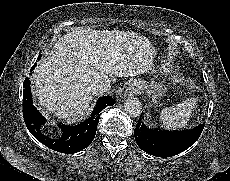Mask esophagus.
Masks as SVG:
<instances>
[{"instance_id":"34e87169","label":"esophagus","mask_w":230,"mask_h":181,"mask_svg":"<svg viewBox=\"0 0 230 181\" xmlns=\"http://www.w3.org/2000/svg\"><path fill=\"white\" fill-rule=\"evenodd\" d=\"M140 91V84L138 82L130 83L125 89V96L132 97L137 95Z\"/></svg>"}]
</instances>
